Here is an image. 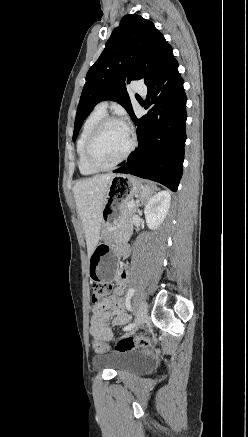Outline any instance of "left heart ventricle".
I'll return each mask as SVG.
<instances>
[{"instance_id":"obj_1","label":"left heart ventricle","mask_w":248,"mask_h":437,"mask_svg":"<svg viewBox=\"0 0 248 437\" xmlns=\"http://www.w3.org/2000/svg\"><path fill=\"white\" fill-rule=\"evenodd\" d=\"M129 145V133L118 123L108 124L97 138L93 157L100 165H110L121 157Z\"/></svg>"}]
</instances>
